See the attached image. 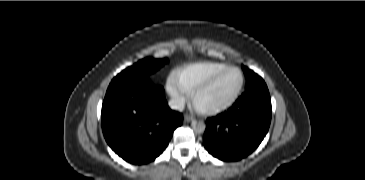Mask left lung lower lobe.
<instances>
[{"label": "left lung lower lobe", "mask_w": 365, "mask_h": 180, "mask_svg": "<svg viewBox=\"0 0 365 180\" xmlns=\"http://www.w3.org/2000/svg\"><path fill=\"white\" fill-rule=\"evenodd\" d=\"M271 122V99L265 83L242 94L227 111L206 121L205 148L223 161H237L252 153Z\"/></svg>", "instance_id": "0a47b994"}]
</instances>
